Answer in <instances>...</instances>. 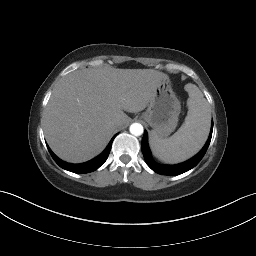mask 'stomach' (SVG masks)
<instances>
[{"mask_svg": "<svg viewBox=\"0 0 256 256\" xmlns=\"http://www.w3.org/2000/svg\"><path fill=\"white\" fill-rule=\"evenodd\" d=\"M180 111V101L172 89L169 77L165 75L158 83L142 118L159 138H164L175 130Z\"/></svg>", "mask_w": 256, "mask_h": 256, "instance_id": "stomach-1", "label": "stomach"}]
</instances>
